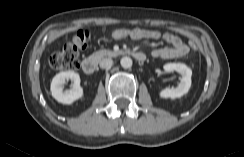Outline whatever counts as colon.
I'll return each instance as SVG.
<instances>
[{
  "mask_svg": "<svg viewBox=\"0 0 244 157\" xmlns=\"http://www.w3.org/2000/svg\"><path fill=\"white\" fill-rule=\"evenodd\" d=\"M132 29L119 28L111 32L115 40L130 38ZM90 33L87 30H79L72 35L64 47L54 52L49 58L50 66L55 70H75L79 67V51L86 49L89 45ZM192 50H196L194 43L190 44Z\"/></svg>",
  "mask_w": 244,
  "mask_h": 157,
  "instance_id": "1",
  "label": "colon"
}]
</instances>
